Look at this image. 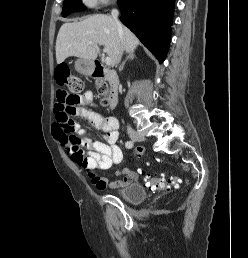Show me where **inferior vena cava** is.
Wrapping results in <instances>:
<instances>
[{"mask_svg":"<svg viewBox=\"0 0 248 258\" xmlns=\"http://www.w3.org/2000/svg\"><path fill=\"white\" fill-rule=\"evenodd\" d=\"M111 15H112V18L114 19V21L116 22L119 33H121L122 32V26H121L120 22L118 21V11L116 9H113L112 12H111ZM122 53H123V41L121 40V48H120V51H119V54H118V59H117L118 63L121 60ZM127 131H128V133L133 132V130L130 126L127 127Z\"/></svg>","mask_w":248,"mask_h":258,"instance_id":"inferior-vena-cava-1","label":"inferior vena cava"}]
</instances>
